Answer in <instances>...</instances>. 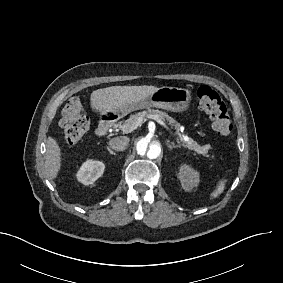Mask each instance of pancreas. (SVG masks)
Returning a JSON list of instances; mask_svg holds the SVG:
<instances>
[{
    "mask_svg": "<svg viewBox=\"0 0 283 283\" xmlns=\"http://www.w3.org/2000/svg\"><path fill=\"white\" fill-rule=\"evenodd\" d=\"M149 115H155L163 121H167L168 124L176 129V134L179 135L177 141L181 142L183 147H186L190 150L196 151L198 154H202L205 157H209L208 150L211 148L209 144L200 146L196 141L190 138L188 141H185L180 134V123H178L174 118L170 117L166 112L160 110H150L148 112H139L134 115H130L129 119L124 122H120L122 125V129L124 131H129L132 126H134L139 121H142L144 118L148 117Z\"/></svg>",
    "mask_w": 283,
    "mask_h": 283,
    "instance_id": "cf45deb5",
    "label": "pancreas"
}]
</instances>
